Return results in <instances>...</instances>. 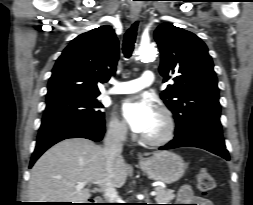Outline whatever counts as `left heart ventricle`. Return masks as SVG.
<instances>
[{
	"mask_svg": "<svg viewBox=\"0 0 253 205\" xmlns=\"http://www.w3.org/2000/svg\"><path fill=\"white\" fill-rule=\"evenodd\" d=\"M163 128H164L163 121L160 115L157 113L152 125L143 135L148 137L158 136L162 133Z\"/></svg>",
	"mask_w": 253,
	"mask_h": 205,
	"instance_id": "left-heart-ventricle-1",
	"label": "left heart ventricle"
}]
</instances>
